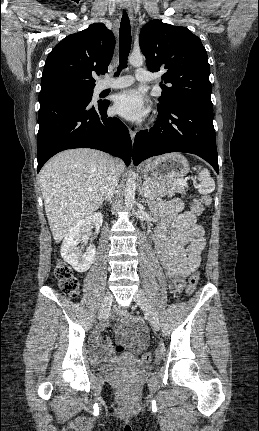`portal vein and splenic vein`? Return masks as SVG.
Wrapping results in <instances>:
<instances>
[{"label": "portal vein and splenic vein", "instance_id": "portal-vein-and-splenic-vein-1", "mask_svg": "<svg viewBox=\"0 0 259 431\" xmlns=\"http://www.w3.org/2000/svg\"><path fill=\"white\" fill-rule=\"evenodd\" d=\"M178 183H181V184H185L186 185V180H184V179H179V180H176ZM150 195V192H149V190H147V189H145V192H144V196L145 197H148Z\"/></svg>", "mask_w": 259, "mask_h": 431}]
</instances>
